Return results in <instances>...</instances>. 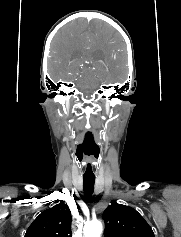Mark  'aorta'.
I'll return each mask as SVG.
<instances>
[{
    "mask_svg": "<svg viewBox=\"0 0 181 237\" xmlns=\"http://www.w3.org/2000/svg\"><path fill=\"white\" fill-rule=\"evenodd\" d=\"M102 231V223L94 220L84 226L83 237H101Z\"/></svg>",
    "mask_w": 181,
    "mask_h": 237,
    "instance_id": "762f6f07",
    "label": "aorta"
}]
</instances>
